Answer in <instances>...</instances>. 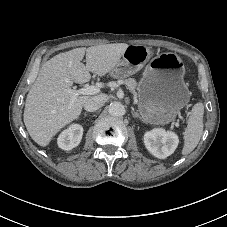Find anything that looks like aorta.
Masks as SVG:
<instances>
[{
  "label": "aorta",
  "instance_id": "1",
  "mask_svg": "<svg viewBox=\"0 0 227 227\" xmlns=\"http://www.w3.org/2000/svg\"><path fill=\"white\" fill-rule=\"evenodd\" d=\"M108 112L111 116L119 117L124 115L125 108L120 102H112L109 105Z\"/></svg>",
  "mask_w": 227,
  "mask_h": 227
}]
</instances>
